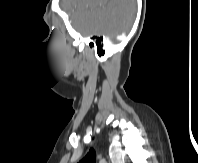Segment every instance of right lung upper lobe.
Instances as JSON below:
<instances>
[{
    "label": "right lung upper lobe",
    "mask_w": 198,
    "mask_h": 163,
    "mask_svg": "<svg viewBox=\"0 0 198 163\" xmlns=\"http://www.w3.org/2000/svg\"><path fill=\"white\" fill-rule=\"evenodd\" d=\"M96 157H95V151L91 148L87 155L79 161V163H95Z\"/></svg>",
    "instance_id": "1"
}]
</instances>
